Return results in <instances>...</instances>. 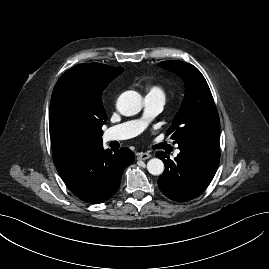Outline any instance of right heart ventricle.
Returning a JSON list of instances; mask_svg holds the SVG:
<instances>
[{
    "instance_id": "e07e8e85",
    "label": "right heart ventricle",
    "mask_w": 269,
    "mask_h": 269,
    "mask_svg": "<svg viewBox=\"0 0 269 269\" xmlns=\"http://www.w3.org/2000/svg\"><path fill=\"white\" fill-rule=\"evenodd\" d=\"M154 93H160L164 95L162 88L158 85H151L148 87V94H154Z\"/></svg>"
}]
</instances>
